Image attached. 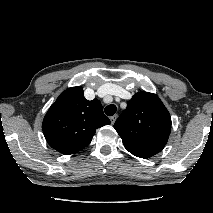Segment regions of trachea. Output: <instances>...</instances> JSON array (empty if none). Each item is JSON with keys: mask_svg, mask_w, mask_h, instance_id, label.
Wrapping results in <instances>:
<instances>
[{"mask_svg": "<svg viewBox=\"0 0 213 213\" xmlns=\"http://www.w3.org/2000/svg\"><path fill=\"white\" fill-rule=\"evenodd\" d=\"M117 107L114 104H110L105 108V114L107 116H113L116 113Z\"/></svg>", "mask_w": 213, "mask_h": 213, "instance_id": "3493384b", "label": "trachea"}]
</instances>
